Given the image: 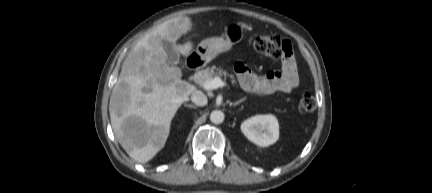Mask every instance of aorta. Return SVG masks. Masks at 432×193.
Instances as JSON below:
<instances>
[{"mask_svg": "<svg viewBox=\"0 0 432 193\" xmlns=\"http://www.w3.org/2000/svg\"><path fill=\"white\" fill-rule=\"evenodd\" d=\"M225 115L221 110H214L210 113V120L214 124H220L224 121Z\"/></svg>", "mask_w": 432, "mask_h": 193, "instance_id": "aorta-1", "label": "aorta"}]
</instances>
